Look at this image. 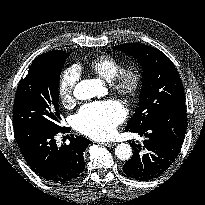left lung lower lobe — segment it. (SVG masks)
<instances>
[{
  "label": "left lung lower lobe",
  "mask_w": 205,
  "mask_h": 205,
  "mask_svg": "<svg viewBox=\"0 0 205 205\" xmlns=\"http://www.w3.org/2000/svg\"><path fill=\"white\" fill-rule=\"evenodd\" d=\"M186 127V108L182 106L164 112L141 128L125 129V131L146 137L142 146L130 142L134 153L123 165L125 174L141 181L160 176L177 157Z\"/></svg>",
  "instance_id": "left-lung-lower-lobe-1"
}]
</instances>
